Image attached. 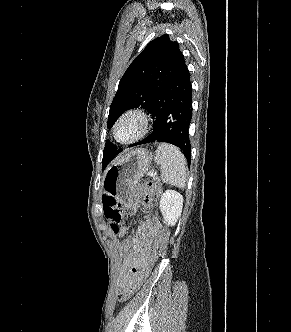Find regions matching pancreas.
Segmentation results:
<instances>
[{"label": "pancreas", "mask_w": 291, "mask_h": 332, "mask_svg": "<svg viewBox=\"0 0 291 332\" xmlns=\"http://www.w3.org/2000/svg\"><path fill=\"white\" fill-rule=\"evenodd\" d=\"M154 181H156L157 184H160V180L157 177L154 178Z\"/></svg>", "instance_id": "cf45deb5"}]
</instances>
